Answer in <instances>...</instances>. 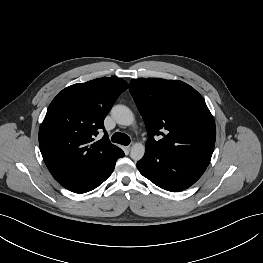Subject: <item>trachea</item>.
<instances>
[{
    "label": "trachea",
    "mask_w": 263,
    "mask_h": 263,
    "mask_svg": "<svg viewBox=\"0 0 263 263\" xmlns=\"http://www.w3.org/2000/svg\"><path fill=\"white\" fill-rule=\"evenodd\" d=\"M112 142L122 144V145H129L130 144V137L124 133L116 132L112 135Z\"/></svg>",
    "instance_id": "3493384b"
}]
</instances>
